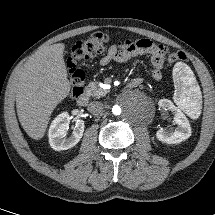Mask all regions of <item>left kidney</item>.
<instances>
[{
	"instance_id": "1",
	"label": "left kidney",
	"mask_w": 215,
	"mask_h": 215,
	"mask_svg": "<svg viewBox=\"0 0 215 215\" xmlns=\"http://www.w3.org/2000/svg\"><path fill=\"white\" fill-rule=\"evenodd\" d=\"M158 105L173 113L177 128L171 131L160 128L156 133L157 139L167 144H176L188 139L191 136V126L184 113L168 99L159 100Z\"/></svg>"
}]
</instances>
